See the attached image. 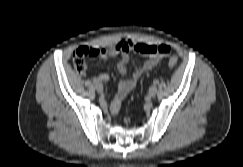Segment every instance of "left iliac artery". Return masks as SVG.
I'll list each match as a JSON object with an SVG mask.
<instances>
[{"label":"left iliac artery","mask_w":243,"mask_h":167,"mask_svg":"<svg viewBox=\"0 0 243 167\" xmlns=\"http://www.w3.org/2000/svg\"><path fill=\"white\" fill-rule=\"evenodd\" d=\"M153 83H154V84H158L159 81H158L157 79H155V80L153 81Z\"/></svg>","instance_id":"left-iliac-artery-1"}]
</instances>
